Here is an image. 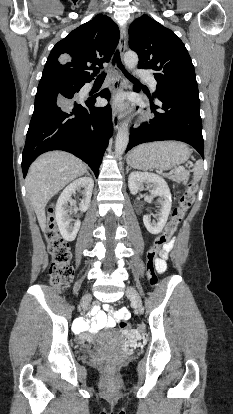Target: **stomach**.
<instances>
[{"label": "stomach", "mask_w": 233, "mask_h": 414, "mask_svg": "<svg viewBox=\"0 0 233 414\" xmlns=\"http://www.w3.org/2000/svg\"><path fill=\"white\" fill-rule=\"evenodd\" d=\"M190 155L187 145L164 141L140 145L130 153L127 162L139 169L169 170L186 162Z\"/></svg>", "instance_id": "stomach-1"}]
</instances>
